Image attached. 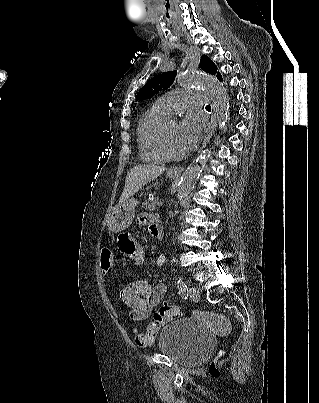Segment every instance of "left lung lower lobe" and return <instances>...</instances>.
Returning <instances> with one entry per match:
<instances>
[{"label": "left lung lower lobe", "instance_id": "obj_1", "mask_svg": "<svg viewBox=\"0 0 319 403\" xmlns=\"http://www.w3.org/2000/svg\"><path fill=\"white\" fill-rule=\"evenodd\" d=\"M217 77H218V79H220L221 81L223 80V79H222V76H221L220 74H219Z\"/></svg>", "mask_w": 319, "mask_h": 403}]
</instances>
